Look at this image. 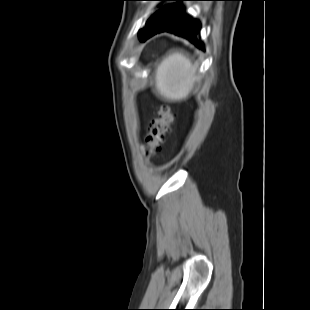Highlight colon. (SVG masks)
<instances>
[{"label": "colon", "instance_id": "colon-1", "mask_svg": "<svg viewBox=\"0 0 310 310\" xmlns=\"http://www.w3.org/2000/svg\"><path fill=\"white\" fill-rule=\"evenodd\" d=\"M173 121V110L169 106H162L158 111V116L150 123L145 137L144 148L149 159L159 150Z\"/></svg>", "mask_w": 310, "mask_h": 310}]
</instances>
